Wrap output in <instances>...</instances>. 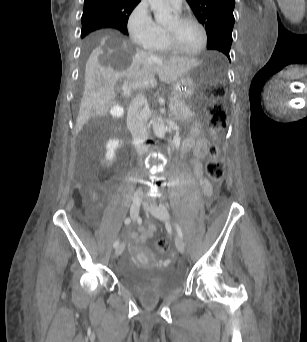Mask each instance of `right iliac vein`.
I'll return each mask as SVG.
<instances>
[{
    "label": "right iliac vein",
    "instance_id": "obj_1",
    "mask_svg": "<svg viewBox=\"0 0 307 342\" xmlns=\"http://www.w3.org/2000/svg\"><path fill=\"white\" fill-rule=\"evenodd\" d=\"M140 205H141V199L139 197H134L130 206V215L133 220H136L139 215ZM124 248H125V244L122 243L116 248L114 255L119 256L123 252Z\"/></svg>",
    "mask_w": 307,
    "mask_h": 342
}]
</instances>
